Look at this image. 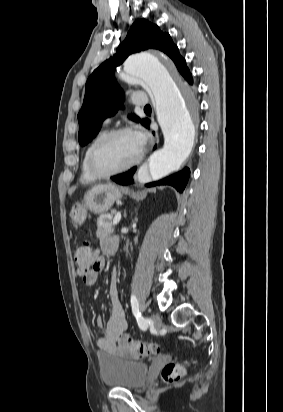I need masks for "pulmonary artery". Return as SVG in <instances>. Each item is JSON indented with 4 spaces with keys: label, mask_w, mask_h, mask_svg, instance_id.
Instances as JSON below:
<instances>
[{
    "label": "pulmonary artery",
    "mask_w": 283,
    "mask_h": 412,
    "mask_svg": "<svg viewBox=\"0 0 283 412\" xmlns=\"http://www.w3.org/2000/svg\"><path fill=\"white\" fill-rule=\"evenodd\" d=\"M131 101L134 105H137V106H146V105H148V97L145 94L140 93V92H136V93L132 94ZM110 121H111V118H106L104 123L108 124V123H110Z\"/></svg>",
    "instance_id": "1"
}]
</instances>
